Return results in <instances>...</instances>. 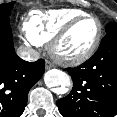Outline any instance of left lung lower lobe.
<instances>
[{
  "label": "left lung lower lobe",
  "instance_id": "0a47b994",
  "mask_svg": "<svg viewBox=\"0 0 117 117\" xmlns=\"http://www.w3.org/2000/svg\"><path fill=\"white\" fill-rule=\"evenodd\" d=\"M73 88L57 100L63 117H114L117 114V28L106 33L96 53L66 69Z\"/></svg>",
  "mask_w": 117,
  "mask_h": 117
}]
</instances>
